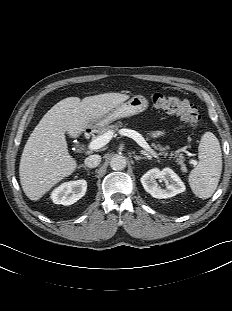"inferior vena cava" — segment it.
I'll list each match as a JSON object with an SVG mask.
<instances>
[{"mask_svg":"<svg viewBox=\"0 0 232 311\" xmlns=\"http://www.w3.org/2000/svg\"><path fill=\"white\" fill-rule=\"evenodd\" d=\"M100 162H101V156L98 154L90 155L84 161L85 165L89 168L97 167L100 164Z\"/></svg>","mask_w":232,"mask_h":311,"instance_id":"obj_1","label":"inferior vena cava"}]
</instances>
